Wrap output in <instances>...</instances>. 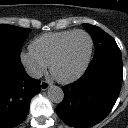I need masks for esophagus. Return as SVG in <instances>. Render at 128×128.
I'll list each match as a JSON object with an SVG mask.
<instances>
[{"label": "esophagus", "mask_w": 128, "mask_h": 128, "mask_svg": "<svg viewBox=\"0 0 128 128\" xmlns=\"http://www.w3.org/2000/svg\"><path fill=\"white\" fill-rule=\"evenodd\" d=\"M40 86H41V89L43 91H45V90H47L50 87V83L43 80V81H41Z\"/></svg>", "instance_id": "esophagus-1"}]
</instances>
